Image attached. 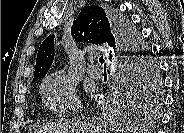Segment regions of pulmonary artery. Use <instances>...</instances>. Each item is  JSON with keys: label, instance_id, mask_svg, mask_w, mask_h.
<instances>
[{"label": "pulmonary artery", "instance_id": "e3ab8cb5", "mask_svg": "<svg viewBox=\"0 0 184 133\" xmlns=\"http://www.w3.org/2000/svg\"><path fill=\"white\" fill-rule=\"evenodd\" d=\"M87 72L92 78L100 79L102 77V70L97 66L90 65Z\"/></svg>", "mask_w": 184, "mask_h": 133}]
</instances>
